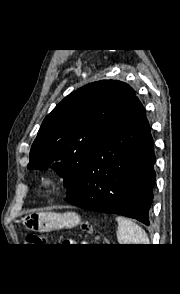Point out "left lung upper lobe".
Masks as SVG:
<instances>
[{
	"label": "left lung upper lobe",
	"instance_id": "left-lung-upper-lobe-1",
	"mask_svg": "<svg viewBox=\"0 0 180 294\" xmlns=\"http://www.w3.org/2000/svg\"><path fill=\"white\" fill-rule=\"evenodd\" d=\"M136 98L132 87L118 80L93 82L72 92L44 119L28 168L52 165L64 179L67 197L75 194L97 148Z\"/></svg>",
	"mask_w": 180,
	"mask_h": 294
}]
</instances>
